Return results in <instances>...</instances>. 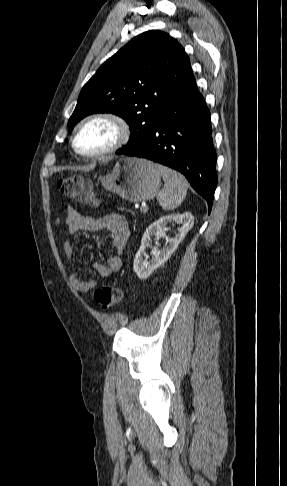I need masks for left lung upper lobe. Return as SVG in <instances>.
Listing matches in <instances>:
<instances>
[{
    "instance_id": "1",
    "label": "left lung upper lobe",
    "mask_w": 287,
    "mask_h": 486,
    "mask_svg": "<svg viewBox=\"0 0 287 486\" xmlns=\"http://www.w3.org/2000/svg\"><path fill=\"white\" fill-rule=\"evenodd\" d=\"M193 71L184 48L158 30L144 32L122 47L82 88L68 129L87 115L114 113L129 124L127 145L138 146Z\"/></svg>"
}]
</instances>
